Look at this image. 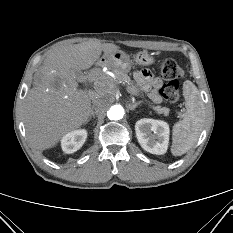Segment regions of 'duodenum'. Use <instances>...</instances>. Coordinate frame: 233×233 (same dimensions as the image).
I'll list each match as a JSON object with an SVG mask.
<instances>
[{"mask_svg": "<svg viewBox=\"0 0 233 233\" xmlns=\"http://www.w3.org/2000/svg\"><path fill=\"white\" fill-rule=\"evenodd\" d=\"M102 62H103L102 60H99V61L97 62V65H100Z\"/></svg>", "mask_w": 233, "mask_h": 233, "instance_id": "1", "label": "duodenum"}]
</instances>
